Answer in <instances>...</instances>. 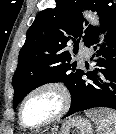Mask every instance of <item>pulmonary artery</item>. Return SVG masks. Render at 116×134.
<instances>
[{
	"instance_id": "pulmonary-artery-1",
	"label": "pulmonary artery",
	"mask_w": 116,
	"mask_h": 134,
	"mask_svg": "<svg viewBox=\"0 0 116 134\" xmlns=\"http://www.w3.org/2000/svg\"><path fill=\"white\" fill-rule=\"evenodd\" d=\"M91 56V50L87 47H82L79 51V57L81 59L83 58H89Z\"/></svg>"
}]
</instances>
